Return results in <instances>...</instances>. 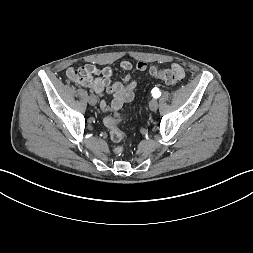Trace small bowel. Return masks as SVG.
Listing matches in <instances>:
<instances>
[{"label": "small bowel", "mask_w": 253, "mask_h": 253, "mask_svg": "<svg viewBox=\"0 0 253 253\" xmlns=\"http://www.w3.org/2000/svg\"><path fill=\"white\" fill-rule=\"evenodd\" d=\"M121 69L130 71L133 68L138 72L143 73L149 67L150 69L157 68L156 65H148L146 62L139 61L136 64L128 60L120 63ZM172 67H182L178 64H173ZM69 80L86 88H94L99 96H102L106 91L110 96V100H101L100 109L103 113L108 114L119 110L124 103L131 102L134 99L137 82L126 75L123 79L113 80L114 70L110 66H105L99 70L96 65L91 62L80 65L77 68L69 67L66 71Z\"/></svg>", "instance_id": "small-bowel-1"}]
</instances>
